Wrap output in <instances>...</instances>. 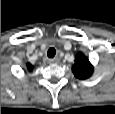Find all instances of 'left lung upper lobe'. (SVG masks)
Instances as JSON below:
<instances>
[{
    "label": "left lung upper lobe",
    "mask_w": 115,
    "mask_h": 114,
    "mask_svg": "<svg viewBox=\"0 0 115 114\" xmlns=\"http://www.w3.org/2000/svg\"><path fill=\"white\" fill-rule=\"evenodd\" d=\"M72 72L76 78L87 79L93 74V66L88 58L79 52L76 55L75 63L72 66Z\"/></svg>",
    "instance_id": "5c2ea615"
}]
</instances>
